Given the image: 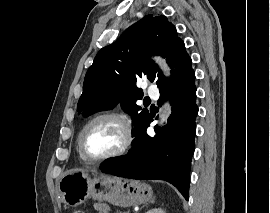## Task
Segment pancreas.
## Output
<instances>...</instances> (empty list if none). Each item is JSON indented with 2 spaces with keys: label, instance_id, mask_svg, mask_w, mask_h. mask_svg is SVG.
Masks as SVG:
<instances>
[{
  "label": "pancreas",
  "instance_id": "cf45deb5",
  "mask_svg": "<svg viewBox=\"0 0 270 213\" xmlns=\"http://www.w3.org/2000/svg\"><path fill=\"white\" fill-rule=\"evenodd\" d=\"M117 213H122V212H117ZM123 213H130L129 211H127V212H123Z\"/></svg>",
  "mask_w": 270,
  "mask_h": 213
}]
</instances>
